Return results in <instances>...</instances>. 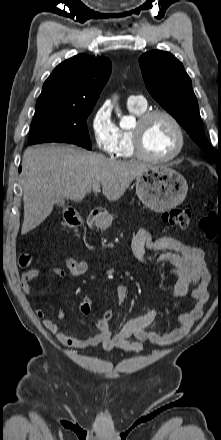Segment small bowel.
<instances>
[{
  "label": "small bowel",
  "instance_id": "obj_1",
  "mask_svg": "<svg viewBox=\"0 0 221 440\" xmlns=\"http://www.w3.org/2000/svg\"><path fill=\"white\" fill-rule=\"evenodd\" d=\"M145 249L159 253V263L170 264L168 273L177 279L173 298L180 299L191 296L195 300V306L191 311L178 315V327L159 332L149 330L148 327L156 321L159 315L158 310L152 309L129 319L116 334L111 331V321H103L101 317L96 322L97 334L75 337L63 333L55 321L45 317L42 309H35L36 316L42 320L45 328L55 335L63 346L71 349H84L100 345L107 351L122 349L127 352H137L147 344L167 345L183 338L202 318L204 306L208 300L207 284L210 277L206 268L204 252L172 237L152 239L149 231L142 228L132 238L131 252L138 261L142 262ZM64 264L69 273L75 277L84 275L89 268L87 261L71 257L66 258ZM47 271L60 278L65 277V271L61 268L51 267ZM42 272L41 269H31L22 273L21 283L26 294H30V284ZM128 291V287L124 284L117 286L116 296L120 304L126 300ZM64 317L65 311L59 307L58 318L63 319Z\"/></svg>",
  "mask_w": 221,
  "mask_h": 440
}]
</instances>
